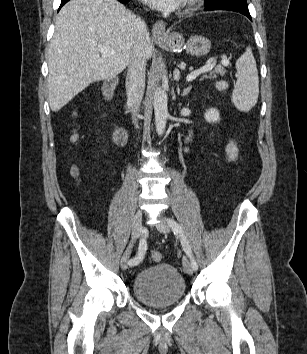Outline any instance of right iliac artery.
I'll use <instances>...</instances> for the list:
<instances>
[{
	"label": "right iliac artery",
	"mask_w": 307,
	"mask_h": 354,
	"mask_svg": "<svg viewBox=\"0 0 307 354\" xmlns=\"http://www.w3.org/2000/svg\"><path fill=\"white\" fill-rule=\"evenodd\" d=\"M146 249H147V243H146L145 238L142 237V238L140 239V242H139V247H138V253H137V255H136L134 258H132V259L128 262V264H129L130 266H136V265H138V264L142 261L143 256H144V254H145V252H146Z\"/></svg>",
	"instance_id": "right-iliac-artery-1"
}]
</instances>
